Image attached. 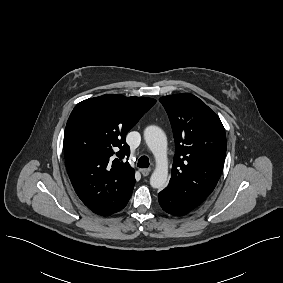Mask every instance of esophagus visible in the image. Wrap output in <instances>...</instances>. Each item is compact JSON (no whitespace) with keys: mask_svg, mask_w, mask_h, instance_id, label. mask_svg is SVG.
Segmentation results:
<instances>
[{"mask_svg":"<svg viewBox=\"0 0 283 283\" xmlns=\"http://www.w3.org/2000/svg\"><path fill=\"white\" fill-rule=\"evenodd\" d=\"M140 172L142 173V175H143L144 177H146V176L149 175L150 169L142 168V169H140Z\"/></svg>","mask_w":283,"mask_h":283,"instance_id":"1","label":"esophagus"}]
</instances>
